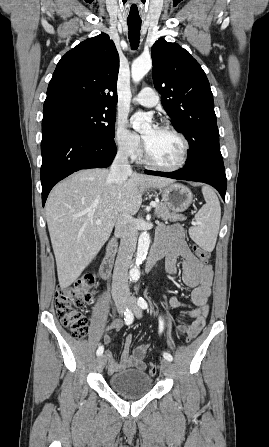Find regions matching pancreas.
<instances>
[{"instance_id":"obj_1","label":"pancreas","mask_w":269,"mask_h":447,"mask_svg":"<svg viewBox=\"0 0 269 447\" xmlns=\"http://www.w3.org/2000/svg\"><path fill=\"white\" fill-rule=\"evenodd\" d=\"M155 216L162 218V220H170V222H183V220H186L185 216L170 212L169 208L165 204H161V202L155 208Z\"/></svg>"}]
</instances>
